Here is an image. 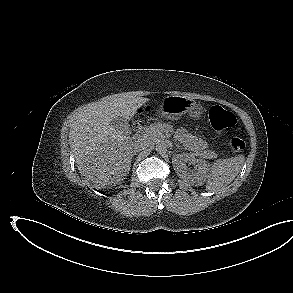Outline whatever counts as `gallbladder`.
<instances>
[{"instance_id": "obj_1", "label": "gallbladder", "mask_w": 293, "mask_h": 293, "mask_svg": "<svg viewBox=\"0 0 293 293\" xmlns=\"http://www.w3.org/2000/svg\"><path fill=\"white\" fill-rule=\"evenodd\" d=\"M111 125L117 130L121 131L123 134H131L132 129L128 121L122 117H116L111 121Z\"/></svg>"}]
</instances>
